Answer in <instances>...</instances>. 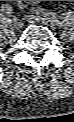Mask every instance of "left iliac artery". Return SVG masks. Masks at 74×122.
<instances>
[{"instance_id": "left-iliac-artery-1", "label": "left iliac artery", "mask_w": 74, "mask_h": 122, "mask_svg": "<svg viewBox=\"0 0 74 122\" xmlns=\"http://www.w3.org/2000/svg\"><path fill=\"white\" fill-rule=\"evenodd\" d=\"M36 13L44 15L53 24H57L59 22V16L54 12H48V11H45L44 9L40 8V9L36 10Z\"/></svg>"}]
</instances>
